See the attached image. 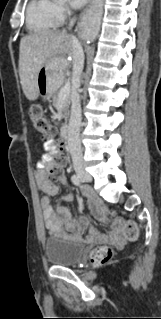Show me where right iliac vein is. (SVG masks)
I'll list each match as a JSON object with an SVG mask.
<instances>
[{"instance_id":"63e3f726","label":"right iliac vein","mask_w":161,"mask_h":319,"mask_svg":"<svg viewBox=\"0 0 161 319\" xmlns=\"http://www.w3.org/2000/svg\"><path fill=\"white\" fill-rule=\"evenodd\" d=\"M77 174L81 179H83L86 182H91L92 180L91 176L84 170L78 169Z\"/></svg>"}]
</instances>
